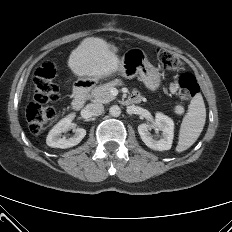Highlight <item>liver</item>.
<instances>
[{
    "instance_id": "obj_1",
    "label": "liver",
    "mask_w": 232,
    "mask_h": 232,
    "mask_svg": "<svg viewBox=\"0 0 232 232\" xmlns=\"http://www.w3.org/2000/svg\"><path fill=\"white\" fill-rule=\"evenodd\" d=\"M99 37H87L72 50L68 67L74 75L85 80L99 81L120 71L121 60Z\"/></svg>"
}]
</instances>
